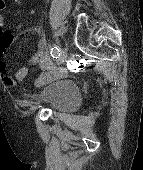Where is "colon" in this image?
Wrapping results in <instances>:
<instances>
[{
    "mask_svg": "<svg viewBox=\"0 0 143 170\" xmlns=\"http://www.w3.org/2000/svg\"><path fill=\"white\" fill-rule=\"evenodd\" d=\"M2 0H0V10L2 9Z\"/></svg>",
    "mask_w": 143,
    "mask_h": 170,
    "instance_id": "colon-1",
    "label": "colon"
}]
</instances>
